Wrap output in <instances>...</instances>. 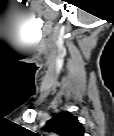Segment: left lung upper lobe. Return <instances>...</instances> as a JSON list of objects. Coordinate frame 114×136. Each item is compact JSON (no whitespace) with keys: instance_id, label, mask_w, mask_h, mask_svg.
<instances>
[{"instance_id":"obj_1","label":"left lung upper lobe","mask_w":114,"mask_h":136,"mask_svg":"<svg viewBox=\"0 0 114 136\" xmlns=\"http://www.w3.org/2000/svg\"><path fill=\"white\" fill-rule=\"evenodd\" d=\"M45 131H52L60 136H83L84 129L76 116L68 113L57 114L43 127Z\"/></svg>"}]
</instances>
